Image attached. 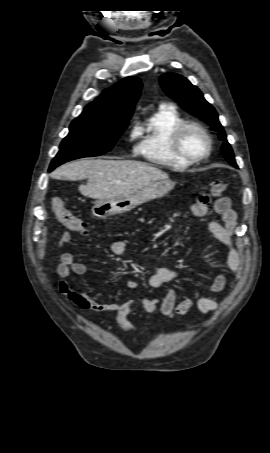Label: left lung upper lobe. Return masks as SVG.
I'll list each match as a JSON object with an SVG mask.
<instances>
[{"label":"left lung upper lobe","mask_w":270,"mask_h":453,"mask_svg":"<svg viewBox=\"0 0 270 453\" xmlns=\"http://www.w3.org/2000/svg\"><path fill=\"white\" fill-rule=\"evenodd\" d=\"M159 81L164 92L170 98L179 102L187 112L208 123L213 130L218 132L219 138L224 141L221 148L222 154L231 165L238 168L233 150L227 142L225 131L218 120V114L214 107L204 99L201 91L185 77L175 73L163 74Z\"/></svg>","instance_id":"1"}]
</instances>
